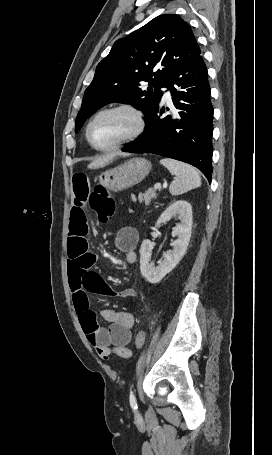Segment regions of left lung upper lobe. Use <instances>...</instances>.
Returning <instances> with one entry per match:
<instances>
[{"label": "left lung upper lobe", "mask_w": 272, "mask_h": 455, "mask_svg": "<svg viewBox=\"0 0 272 455\" xmlns=\"http://www.w3.org/2000/svg\"><path fill=\"white\" fill-rule=\"evenodd\" d=\"M200 55L190 26L175 14L157 16L117 40L85 90L75 132L96 110L112 102L131 104L148 118L163 96L160 88Z\"/></svg>", "instance_id": "left-lung-upper-lobe-1"}]
</instances>
